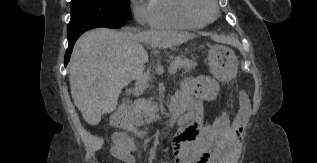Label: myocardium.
<instances>
[{
    "label": "myocardium",
    "mask_w": 317,
    "mask_h": 163,
    "mask_svg": "<svg viewBox=\"0 0 317 163\" xmlns=\"http://www.w3.org/2000/svg\"><path fill=\"white\" fill-rule=\"evenodd\" d=\"M184 9L188 15L205 22L216 19L219 14L216 0H184Z\"/></svg>",
    "instance_id": "f54148a6"
}]
</instances>
